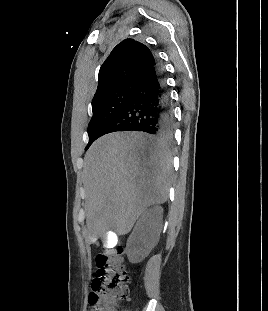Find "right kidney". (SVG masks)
<instances>
[{
  "label": "right kidney",
  "mask_w": 268,
  "mask_h": 311,
  "mask_svg": "<svg viewBox=\"0 0 268 311\" xmlns=\"http://www.w3.org/2000/svg\"><path fill=\"white\" fill-rule=\"evenodd\" d=\"M163 209L155 206L138 219L126 245V254L131 263L141 262L156 246L163 228Z\"/></svg>",
  "instance_id": "1"
}]
</instances>
